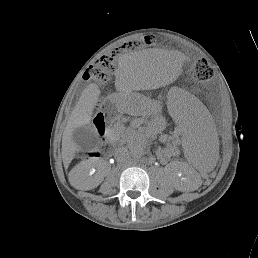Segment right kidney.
I'll list each match as a JSON object with an SVG mask.
<instances>
[{
	"label": "right kidney",
	"instance_id": "1",
	"mask_svg": "<svg viewBox=\"0 0 258 258\" xmlns=\"http://www.w3.org/2000/svg\"><path fill=\"white\" fill-rule=\"evenodd\" d=\"M100 165V160L99 159H96L93 164H92V167L93 168H98ZM93 172V169H85V174L88 175V174H92ZM74 175L76 177V179H79V180H82L84 179L85 177L83 175H81L80 171L77 169L74 171ZM99 184V182H95L91 187L90 189L92 188H95L97 185Z\"/></svg>",
	"mask_w": 258,
	"mask_h": 258
}]
</instances>
